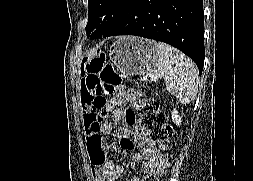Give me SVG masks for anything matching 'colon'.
<instances>
[{"mask_svg": "<svg viewBox=\"0 0 253 181\" xmlns=\"http://www.w3.org/2000/svg\"><path fill=\"white\" fill-rule=\"evenodd\" d=\"M90 55H93L84 65L86 74L85 82L87 93L85 102L89 107V116L85 118L87 127L101 137L100 130H92L94 123H102L106 116L107 100L111 97L120 84V77L114 68L106 64L105 55H109V50H100V47H89ZM137 115L140 126L149 132L153 141L166 148V143L173 135V128L166 123V117L159 108V103L152 98L140 95ZM96 159V156H93ZM166 166L164 159L155 162L148 174L144 176V181H158Z\"/></svg>", "mask_w": 253, "mask_h": 181, "instance_id": "colon-1", "label": "colon"}]
</instances>
